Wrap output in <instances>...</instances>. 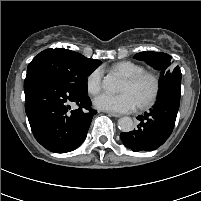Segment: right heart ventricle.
<instances>
[{
	"mask_svg": "<svg viewBox=\"0 0 201 201\" xmlns=\"http://www.w3.org/2000/svg\"><path fill=\"white\" fill-rule=\"evenodd\" d=\"M111 69L114 72L121 74L123 77H128L144 71V67L132 61H120L115 63Z\"/></svg>",
	"mask_w": 201,
	"mask_h": 201,
	"instance_id": "1",
	"label": "right heart ventricle"
}]
</instances>
